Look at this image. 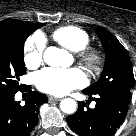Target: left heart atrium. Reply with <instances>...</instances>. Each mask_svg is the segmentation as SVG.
<instances>
[{"label":"left heart atrium","mask_w":136,"mask_h":136,"mask_svg":"<svg viewBox=\"0 0 136 136\" xmlns=\"http://www.w3.org/2000/svg\"><path fill=\"white\" fill-rule=\"evenodd\" d=\"M86 82L84 73L77 68H45L35 75V84L40 91L59 96L83 87Z\"/></svg>","instance_id":"39dd6f15"}]
</instances>
